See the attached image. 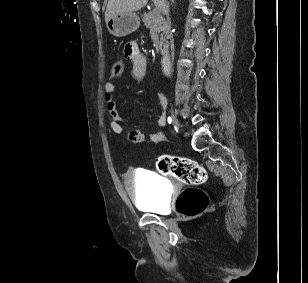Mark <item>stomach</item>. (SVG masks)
<instances>
[{"instance_id":"0dacf381","label":"stomach","mask_w":308,"mask_h":283,"mask_svg":"<svg viewBox=\"0 0 308 283\" xmlns=\"http://www.w3.org/2000/svg\"><path fill=\"white\" fill-rule=\"evenodd\" d=\"M108 31L115 37H124L136 31L140 25L135 13L117 14L106 22Z\"/></svg>"}]
</instances>
